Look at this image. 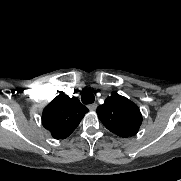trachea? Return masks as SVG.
I'll return each mask as SVG.
<instances>
[{"instance_id":"1","label":"trachea","mask_w":181,"mask_h":181,"mask_svg":"<svg viewBox=\"0 0 181 181\" xmlns=\"http://www.w3.org/2000/svg\"><path fill=\"white\" fill-rule=\"evenodd\" d=\"M82 103L84 104H91L94 102L95 97L92 92L85 91L81 96Z\"/></svg>"}]
</instances>
